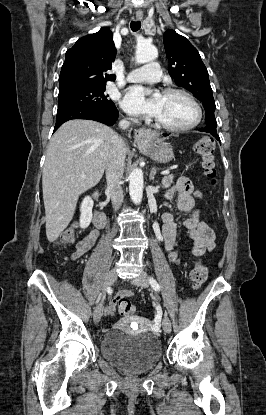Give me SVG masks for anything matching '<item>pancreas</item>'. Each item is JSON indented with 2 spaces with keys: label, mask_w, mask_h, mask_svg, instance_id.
<instances>
[{
  "label": "pancreas",
  "mask_w": 266,
  "mask_h": 415,
  "mask_svg": "<svg viewBox=\"0 0 266 415\" xmlns=\"http://www.w3.org/2000/svg\"><path fill=\"white\" fill-rule=\"evenodd\" d=\"M174 179V176L173 175H165L163 178H162V181H161V184H160V186H162L163 188H168V187H170V185H171V183H172V180Z\"/></svg>",
  "instance_id": "pancreas-1"
}]
</instances>
